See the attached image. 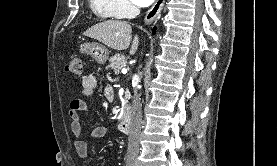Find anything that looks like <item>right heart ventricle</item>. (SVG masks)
<instances>
[{"label": "right heart ventricle", "mask_w": 277, "mask_h": 166, "mask_svg": "<svg viewBox=\"0 0 277 166\" xmlns=\"http://www.w3.org/2000/svg\"><path fill=\"white\" fill-rule=\"evenodd\" d=\"M91 12L101 20H111L117 18L111 0H88Z\"/></svg>", "instance_id": "right-heart-ventricle-1"}]
</instances>
